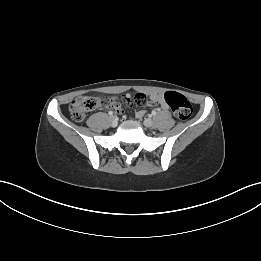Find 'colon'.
<instances>
[{
  "label": "colon",
  "instance_id": "1",
  "mask_svg": "<svg viewBox=\"0 0 261 261\" xmlns=\"http://www.w3.org/2000/svg\"><path fill=\"white\" fill-rule=\"evenodd\" d=\"M164 100L182 121L190 118L192 105L182 94L169 91L164 94ZM98 99L90 96H78L70 104V115L74 121L81 122L98 104Z\"/></svg>",
  "mask_w": 261,
  "mask_h": 261
}]
</instances>
